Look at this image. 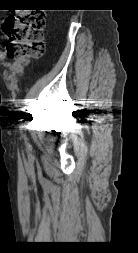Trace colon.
Returning a JSON list of instances; mask_svg holds the SVG:
<instances>
[{"label": "colon", "instance_id": "obj_1", "mask_svg": "<svg viewBox=\"0 0 138 253\" xmlns=\"http://www.w3.org/2000/svg\"><path fill=\"white\" fill-rule=\"evenodd\" d=\"M45 24V15L41 12L25 11L9 16L3 24L8 56L24 62L43 55Z\"/></svg>", "mask_w": 138, "mask_h": 253}]
</instances>
